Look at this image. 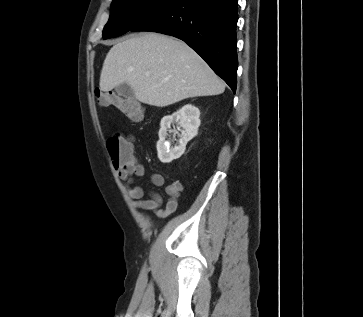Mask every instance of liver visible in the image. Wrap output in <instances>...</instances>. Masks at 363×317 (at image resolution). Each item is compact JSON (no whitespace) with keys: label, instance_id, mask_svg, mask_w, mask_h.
I'll return each instance as SVG.
<instances>
[{"label":"liver","instance_id":"liver-1","mask_svg":"<svg viewBox=\"0 0 363 317\" xmlns=\"http://www.w3.org/2000/svg\"><path fill=\"white\" fill-rule=\"evenodd\" d=\"M127 83L142 103L165 107L189 97L219 95L225 84L186 43L147 32L115 44L103 63L100 89Z\"/></svg>","mask_w":363,"mask_h":317}]
</instances>
